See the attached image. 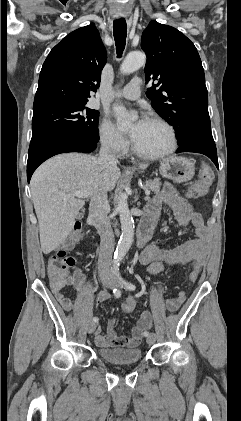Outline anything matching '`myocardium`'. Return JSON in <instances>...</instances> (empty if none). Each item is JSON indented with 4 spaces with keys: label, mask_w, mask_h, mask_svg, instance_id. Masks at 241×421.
<instances>
[{
    "label": "myocardium",
    "mask_w": 241,
    "mask_h": 421,
    "mask_svg": "<svg viewBox=\"0 0 241 421\" xmlns=\"http://www.w3.org/2000/svg\"><path fill=\"white\" fill-rule=\"evenodd\" d=\"M146 121L158 123V124L164 126L168 130L169 135H170L169 146L165 150H163L161 152H158V153H146V152H143L140 149H138L137 146L135 145V143L132 141V144H131L132 152L136 156H138L140 158H143V159H147V160H159V159L165 158V157L169 156L170 154H172L176 150L177 145H178L177 133H176V130H175L174 126L170 122H168L167 120H165V119H163L159 116H151Z\"/></svg>",
    "instance_id": "myocardium-1"
}]
</instances>
